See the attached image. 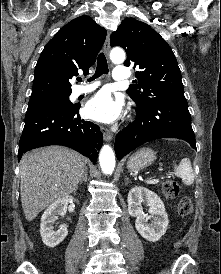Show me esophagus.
Instances as JSON below:
<instances>
[{
	"label": "esophagus",
	"mask_w": 221,
	"mask_h": 274,
	"mask_svg": "<svg viewBox=\"0 0 221 274\" xmlns=\"http://www.w3.org/2000/svg\"><path fill=\"white\" fill-rule=\"evenodd\" d=\"M109 52H110V35L108 34L104 43V53L108 56ZM101 131L106 141L112 140L113 134L108 128L101 126Z\"/></svg>",
	"instance_id": "obj_1"
}]
</instances>
